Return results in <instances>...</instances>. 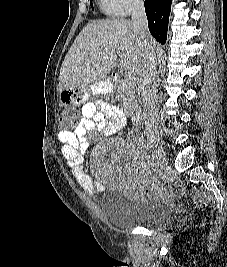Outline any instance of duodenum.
Listing matches in <instances>:
<instances>
[{
  "instance_id": "410a0bca",
  "label": "duodenum",
  "mask_w": 227,
  "mask_h": 267,
  "mask_svg": "<svg viewBox=\"0 0 227 267\" xmlns=\"http://www.w3.org/2000/svg\"><path fill=\"white\" fill-rule=\"evenodd\" d=\"M112 82L115 83L119 80V76L118 75H115L112 77ZM129 112L132 116V119L135 121V122H139L142 118V111L139 110V109H136V108H130L129 109Z\"/></svg>"
}]
</instances>
